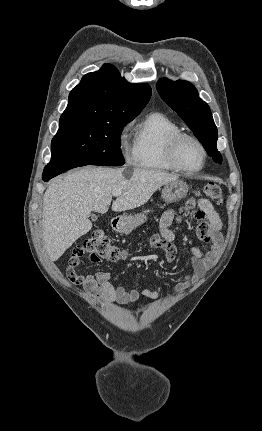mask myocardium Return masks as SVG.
Segmentation results:
<instances>
[{"label":"myocardium","mask_w":262,"mask_h":431,"mask_svg":"<svg viewBox=\"0 0 262 431\" xmlns=\"http://www.w3.org/2000/svg\"><path fill=\"white\" fill-rule=\"evenodd\" d=\"M185 141L193 142L199 148V150L202 153V164L196 169H187L186 167H184L182 165V163L179 160V148ZM167 157H168V160L170 161V163L178 171L184 173L185 175L191 176V175L197 174L198 172H200L204 168V166L206 164V160H207V151H206V148L204 147V145L196 137L189 135V134L181 133V134L173 136L170 139L169 144H168Z\"/></svg>","instance_id":"1"}]
</instances>
